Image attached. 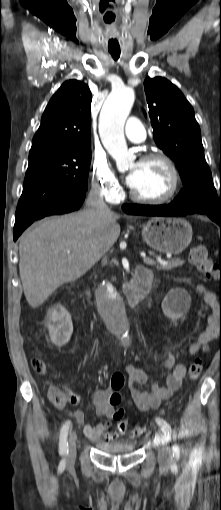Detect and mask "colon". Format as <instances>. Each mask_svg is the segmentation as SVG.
Listing matches in <instances>:
<instances>
[{
  "label": "colon",
  "instance_id": "colon-1",
  "mask_svg": "<svg viewBox=\"0 0 221 510\" xmlns=\"http://www.w3.org/2000/svg\"><path fill=\"white\" fill-rule=\"evenodd\" d=\"M190 262L211 282L217 284L220 289L221 295V262L217 263L213 261L207 250L202 246H197L189 251ZM220 313H221V297H220ZM33 369L39 374H46L47 365L45 361L40 357H35L32 360ZM201 360H195L189 368V377L192 380L197 379L202 372ZM125 385V377L121 372H115L112 374L110 379V386L114 393L110 398L113 405L118 406L121 402V395L119 391L123 389ZM48 398L53 406L56 408H63L67 403L76 404L80 398L71 389H66L61 386H52L48 393ZM125 411L122 408H118L114 414V419L118 421V427L121 430H126L128 427V420L124 417ZM145 433L143 427H135L132 430L134 437H141ZM109 434L103 437L104 442H109ZM112 441V440H111Z\"/></svg>",
  "mask_w": 221,
  "mask_h": 510
}]
</instances>
